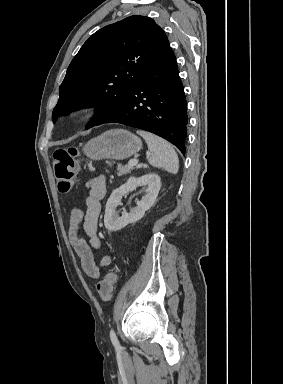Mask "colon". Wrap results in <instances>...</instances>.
<instances>
[{
  "mask_svg": "<svg viewBox=\"0 0 283 384\" xmlns=\"http://www.w3.org/2000/svg\"><path fill=\"white\" fill-rule=\"evenodd\" d=\"M77 155L75 148H62L54 151L52 156L55 178L59 191L68 192L74 183L77 173ZM117 281L115 272H109L98 282L97 292L103 301H109L112 297L114 285Z\"/></svg>",
  "mask_w": 283,
  "mask_h": 384,
  "instance_id": "obj_1",
  "label": "colon"
}]
</instances>
